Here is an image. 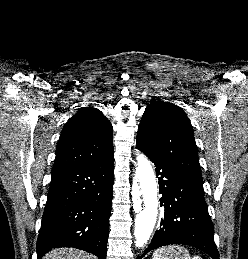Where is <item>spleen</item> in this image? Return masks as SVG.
Listing matches in <instances>:
<instances>
[{
    "label": "spleen",
    "instance_id": "3e777b00",
    "mask_svg": "<svg viewBox=\"0 0 248 259\" xmlns=\"http://www.w3.org/2000/svg\"><path fill=\"white\" fill-rule=\"evenodd\" d=\"M175 248L177 249H182V247L180 246H175ZM152 259H164L163 258V248L162 249H157L154 253H153V257ZM192 259H202L200 256L196 255L194 256Z\"/></svg>",
    "mask_w": 248,
    "mask_h": 259
}]
</instances>
